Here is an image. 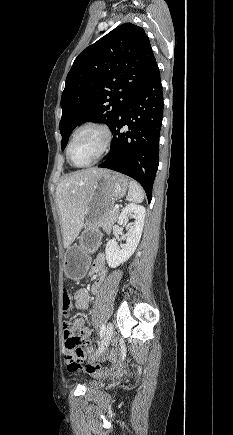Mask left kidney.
Returning <instances> with one entry per match:
<instances>
[{"mask_svg": "<svg viewBox=\"0 0 233 435\" xmlns=\"http://www.w3.org/2000/svg\"><path fill=\"white\" fill-rule=\"evenodd\" d=\"M145 212L144 206L133 203L123 208L118 218V224L123 225L128 218H134L135 220L128 228L126 244L122 249L118 246L116 240L107 242L106 260L110 267L116 268L123 264L135 252L142 235Z\"/></svg>", "mask_w": 233, "mask_h": 435, "instance_id": "obj_1", "label": "left kidney"}]
</instances>
